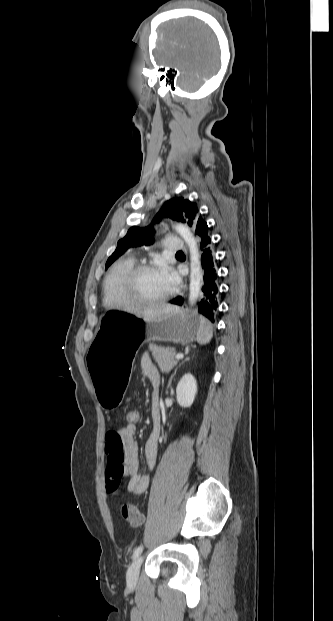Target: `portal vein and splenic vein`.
Returning <instances> with one entry per match:
<instances>
[{
    "mask_svg": "<svg viewBox=\"0 0 333 621\" xmlns=\"http://www.w3.org/2000/svg\"><path fill=\"white\" fill-rule=\"evenodd\" d=\"M183 357H184V355H183V354H177L174 358H175L176 360H179V359H182Z\"/></svg>",
    "mask_w": 333,
    "mask_h": 621,
    "instance_id": "obj_1",
    "label": "portal vein and splenic vein"
}]
</instances>
